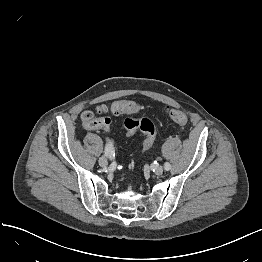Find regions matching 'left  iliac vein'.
<instances>
[{"mask_svg":"<svg viewBox=\"0 0 262 262\" xmlns=\"http://www.w3.org/2000/svg\"><path fill=\"white\" fill-rule=\"evenodd\" d=\"M153 171L156 175L160 176L163 174L164 169L162 166H157L153 168Z\"/></svg>","mask_w":262,"mask_h":262,"instance_id":"left-iliac-vein-1","label":"left iliac vein"}]
</instances>
